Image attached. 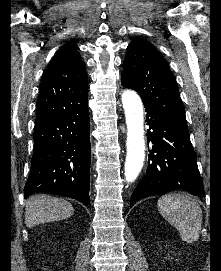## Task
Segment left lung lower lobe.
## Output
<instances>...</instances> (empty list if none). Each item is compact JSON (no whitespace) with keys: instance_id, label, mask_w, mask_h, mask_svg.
Returning a JSON list of instances; mask_svg holds the SVG:
<instances>
[{"instance_id":"0a47b994","label":"left lung lower lobe","mask_w":221,"mask_h":271,"mask_svg":"<svg viewBox=\"0 0 221 271\" xmlns=\"http://www.w3.org/2000/svg\"><path fill=\"white\" fill-rule=\"evenodd\" d=\"M145 111L149 125L148 143L151 142L152 150L146 174L132 194L130 207L141 198L176 189L200 196L203 182L188 128L174 123L151 108L145 107Z\"/></svg>"}]
</instances>
